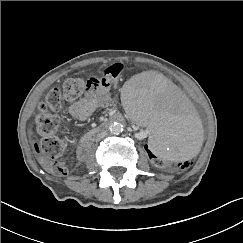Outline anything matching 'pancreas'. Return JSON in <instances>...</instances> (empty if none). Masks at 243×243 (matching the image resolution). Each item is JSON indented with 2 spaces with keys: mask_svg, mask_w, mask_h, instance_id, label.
Here are the masks:
<instances>
[{
  "mask_svg": "<svg viewBox=\"0 0 243 243\" xmlns=\"http://www.w3.org/2000/svg\"><path fill=\"white\" fill-rule=\"evenodd\" d=\"M96 132V130H91L90 132H88L87 134H85L82 139H86V138H89L91 137L92 135H94Z\"/></svg>",
  "mask_w": 243,
  "mask_h": 243,
  "instance_id": "cf45deb5",
  "label": "pancreas"
}]
</instances>
